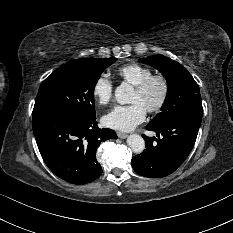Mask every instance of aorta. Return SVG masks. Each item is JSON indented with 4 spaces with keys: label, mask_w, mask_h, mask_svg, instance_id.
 Listing matches in <instances>:
<instances>
[{
    "label": "aorta",
    "mask_w": 233,
    "mask_h": 233,
    "mask_svg": "<svg viewBox=\"0 0 233 233\" xmlns=\"http://www.w3.org/2000/svg\"><path fill=\"white\" fill-rule=\"evenodd\" d=\"M132 95L133 89L126 83H122L115 89V99L119 104H129L131 102ZM127 144L136 154H140L145 149V141L142 136L138 134H131L127 138Z\"/></svg>",
    "instance_id": "762f6f07"
}]
</instances>
